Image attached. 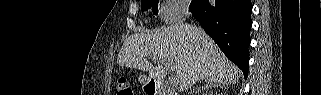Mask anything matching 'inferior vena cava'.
<instances>
[{
  "label": "inferior vena cava",
  "mask_w": 321,
  "mask_h": 95,
  "mask_svg": "<svg viewBox=\"0 0 321 95\" xmlns=\"http://www.w3.org/2000/svg\"><path fill=\"white\" fill-rule=\"evenodd\" d=\"M196 82L193 80L190 84H189V88H191V86H193Z\"/></svg>",
  "instance_id": "1"
}]
</instances>
